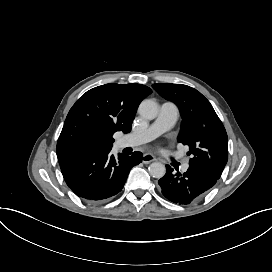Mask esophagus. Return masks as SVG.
I'll return each mask as SVG.
<instances>
[{
	"label": "esophagus",
	"instance_id": "34e87169",
	"mask_svg": "<svg viewBox=\"0 0 272 272\" xmlns=\"http://www.w3.org/2000/svg\"><path fill=\"white\" fill-rule=\"evenodd\" d=\"M156 160V157L151 153H145L142 156V162L143 163H150Z\"/></svg>",
	"mask_w": 272,
	"mask_h": 272
}]
</instances>
